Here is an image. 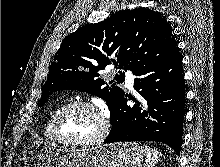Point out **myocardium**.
Returning a JSON list of instances; mask_svg holds the SVG:
<instances>
[{"instance_id": "obj_1", "label": "myocardium", "mask_w": 220, "mask_h": 167, "mask_svg": "<svg viewBox=\"0 0 220 167\" xmlns=\"http://www.w3.org/2000/svg\"><path fill=\"white\" fill-rule=\"evenodd\" d=\"M73 106L86 107L88 109H91L94 113L98 115L100 119V128L94 137L84 140H69L63 138L60 135L58 129V121L62 116V114ZM51 130L56 142H58L59 144L65 146H71V147H90V146L98 145L106 139L110 131V121L107 113L95 103L88 100L75 99L68 101L63 105H61L60 107H58V109L55 111L52 117Z\"/></svg>"}]
</instances>
